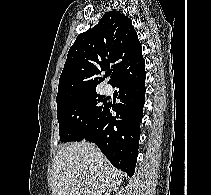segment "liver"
Returning <instances> with one entry per match:
<instances>
[{"label": "liver", "mask_w": 211, "mask_h": 195, "mask_svg": "<svg viewBox=\"0 0 211 195\" xmlns=\"http://www.w3.org/2000/svg\"><path fill=\"white\" fill-rule=\"evenodd\" d=\"M86 141L60 146L52 169V195H99L118 188L123 174Z\"/></svg>", "instance_id": "6515ba94"}]
</instances>
